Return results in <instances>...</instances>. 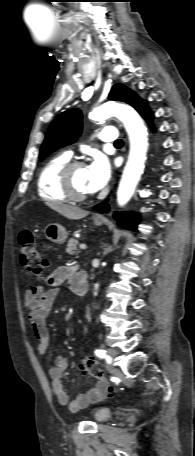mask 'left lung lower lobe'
Instances as JSON below:
<instances>
[{
	"mask_svg": "<svg viewBox=\"0 0 195 456\" xmlns=\"http://www.w3.org/2000/svg\"><path fill=\"white\" fill-rule=\"evenodd\" d=\"M136 110L147 120L151 121L153 118V114L150 111L149 107L147 106L146 102L143 101ZM95 209L102 212L107 213L109 210V205L106 202L100 203L99 205L95 206ZM114 218L117 220L118 224L126 229L136 230V226L139 221V217L134 213H122L114 214Z\"/></svg>",
	"mask_w": 195,
	"mask_h": 456,
	"instance_id": "obj_1",
	"label": "left lung lower lobe"
}]
</instances>
